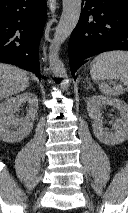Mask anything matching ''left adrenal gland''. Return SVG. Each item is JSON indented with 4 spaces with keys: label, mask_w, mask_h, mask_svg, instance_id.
Listing matches in <instances>:
<instances>
[{
    "label": "left adrenal gland",
    "mask_w": 128,
    "mask_h": 213,
    "mask_svg": "<svg viewBox=\"0 0 128 213\" xmlns=\"http://www.w3.org/2000/svg\"><path fill=\"white\" fill-rule=\"evenodd\" d=\"M88 89H93V86L91 85V83L89 82V87Z\"/></svg>",
    "instance_id": "left-adrenal-gland-1"
}]
</instances>
